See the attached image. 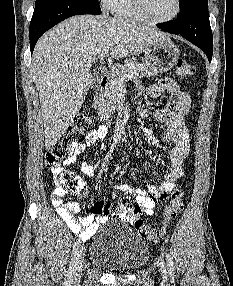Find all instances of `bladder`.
Segmentation results:
<instances>
[{"label":"bladder","instance_id":"bladder-1","mask_svg":"<svg viewBox=\"0 0 233 286\" xmlns=\"http://www.w3.org/2000/svg\"><path fill=\"white\" fill-rule=\"evenodd\" d=\"M89 257L93 264L110 272L125 273L141 268L148 260L149 249L131 226L111 222L96 236Z\"/></svg>","mask_w":233,"mask_h":286}]
</instances>
